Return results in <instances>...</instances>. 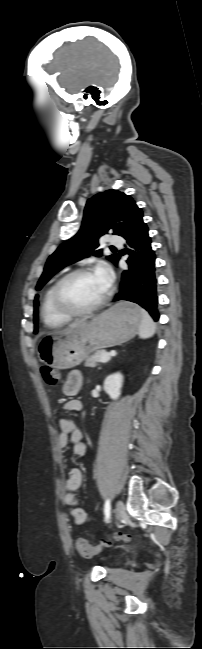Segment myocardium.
Segmentation results:
<instances>
[{"mask_svg":"<svg viewBox=\"0 0 202 649\" xmlns=\"http://www.w3.org/2000/svg\"><path fill=\"white\" fill-rule=\"evenodd\" d=\"M93 272L92 267H80L77 269H74L67 274H65L63 277H61L55 284L54 290H53V300L60 312L63 314H66L71 317H78V316H85L89 315L98 309H100L110 298L111 296V288L108 287L104 296L96 302L94 305L85 308V309H78L73 306H71L68 301L66 300L64 296V287L65 285L74 277L83 275V274H88Z\"/></svg>","mask_w":202,"mask_h":649,"instance_id":"f54148a6","label":"myocardium"}]
</instances>
